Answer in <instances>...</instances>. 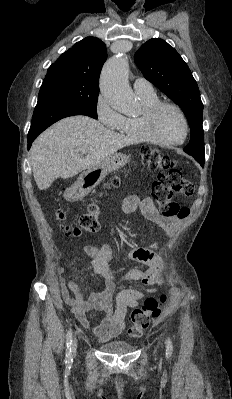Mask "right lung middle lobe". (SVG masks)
<instances>
[{
  "mask_svg": "<svg viewBox=\"0 0 232 399\" xmlns=\"http://www.w3.org/2000/svg\"><path fill=\"white\" fill-rule=\"evenodd\" d=\"M99 89L88 88L63 80H43L38 98L70 103L87 111L97 118Z\"/></svg>",
  "mask_w": 232,
  "mask_h": 399,
  "instance_id": "right-lung-middle-lobe-1",
  "label": "right lung middle lobe"
}]
</instances>
